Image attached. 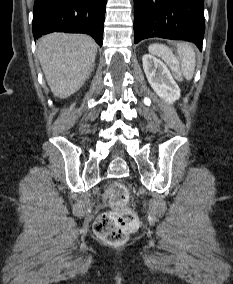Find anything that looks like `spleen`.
Segmentation results:
<instances>
[{
  "label": "spleen",
  "instance_id": "3e777b00",
  "mask_svg": "<svg viewBox=\"0 0 233 284\" xmlns=\"http://www.w3.org/2000/svg\"><path fill=\"white\" fill-rule=\"evenodd\" d=\"M149 52L162 57L172 68V71L177 75L179 67L173 66L174 56L172 51L163 44H152L149 46ZM177 52L180 60V69L186 80H191L195 70V52L194 49L187 43H178Z\"/></svg>",
  "mask_w": 233,
  "mask_h": 284
}]
</instances>
